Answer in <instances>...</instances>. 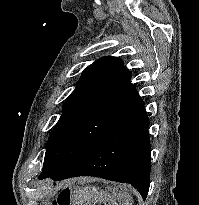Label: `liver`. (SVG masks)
<instances>
[{
  "mask_svg": "<svg viewBox=\"0 0 199 205\" xmlns=\"http://www.w3.org/2000/svg\"><path fill=\"white\" fill-rule=\"evenodd\" d=\"M92 179H85L89 183ZM72 205H100L112 203L118 200L121 205L131 204L130 196L124 190L118 194L112 195L107 190H102L99 187L86 185L85 187H77L71 191Z\"/></svg>",
  "mask_w": 199,
  "mask_h": 205,
  "instance_id": "1",
  "label": "liver"
}]
</instances>
